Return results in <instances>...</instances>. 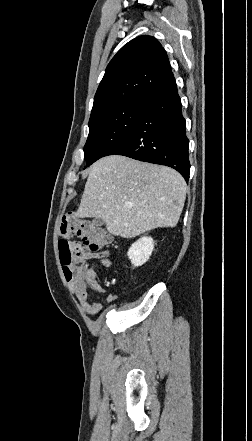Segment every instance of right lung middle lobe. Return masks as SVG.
<instances>
[{
	"mask_svg": "<svg viewBox=\"0 0 252 441\" xmlns=\"http://www.w3.org/2000/svg\"><path fill=\"white\" fill-rule=\"evenodd\" d=\"M145 106L144 98L105 108L89 120V135L84 147L86 166L106 156L135 126Z\"/></svg>",
	"mask_w": 252,
	"mask_h": 441,
	"instance_id": "obj_1",
	"label": "right lung middle lobe"
}]
</instances>
